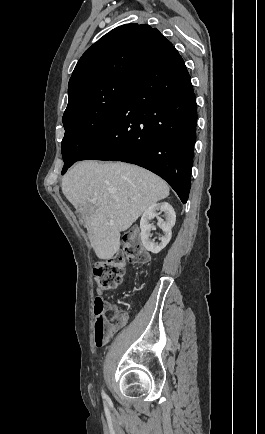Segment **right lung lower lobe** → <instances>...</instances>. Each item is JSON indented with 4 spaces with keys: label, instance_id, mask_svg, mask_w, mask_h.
<instances>
[{
    "label": "right lung lower lobe",
    "instance_id": "right-lung-lower-lobe-1",
    "mask_svg": "<svg viewBox=\"0 0 265 434\" xmlns=\"http://www.w3.org/2000/svg\"><path fill=\"white\" fill-rule=\"evenodd\" d=\"M196 125L197 104L191 78L172 46L135 76L110 125L78 161L137 164L166 180L185 204Z\"/></svg>",
    "mask_w": 265,
    "mask_h": 434
}]
</instances>
